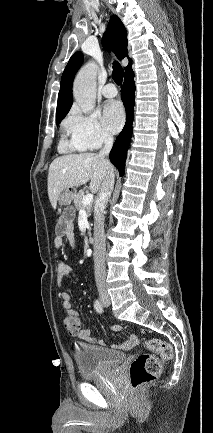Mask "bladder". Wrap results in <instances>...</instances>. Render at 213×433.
<instances>
[{
	"label": "bladder",
	"instance_id": "obj_1",
	"mask_svg": "<svg viewBox=\"0 0 213 433\" xmlns=\"http://www.w3.org/2000/svg\"><path fill=\"white\" fill-rule=\"evenodd\" d=\"M74 358L81 378L99 379L111 374L126 355L101 346L79 343L75 346Z\"/></svg>",
	"mask_w": 213,
	"mask_h": 433
}]
</instances>
